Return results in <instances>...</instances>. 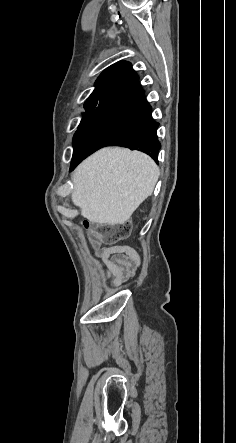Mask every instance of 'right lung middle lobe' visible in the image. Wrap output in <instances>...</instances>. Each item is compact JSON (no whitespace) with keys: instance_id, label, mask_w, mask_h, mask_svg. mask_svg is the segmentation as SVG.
Masks as SVG:
<instances>
[{"instance_id":"right-lung-middle-lobe-1","label":"right lung middle lobe","mask_w":236,"mask_h":443,"mask_svg":"<svg viewBox=\"0 0 236 443\" xmlns=\"http://www.w3.org/2000/svg\"><path fill=\"white\" fill-rule=\"evenodd\" d=\"M104 101H105V99L104 100H95V101L86 102L84 104V108H85L86 112L83 115V118H82V121H81V123L79 125L78 130L80 128H82L83 125H85V123L88 122V120L92 117V115L95 113V111L103 104ZM74 137H75V135H74Z\"/></svg>"}]
</instances>
